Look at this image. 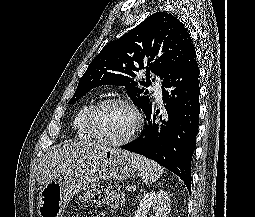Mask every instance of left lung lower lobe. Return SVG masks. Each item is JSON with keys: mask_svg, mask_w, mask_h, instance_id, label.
<instances>
[{"mask_svg": "<svg viewBox=\"0 0 255 217\" xmlns=\"http://www.w3.org/2000/svg\"><path fill=\"white\" fill-rule=\"evenodd\" d=\"M199 67L194 46L169 71L162 82L166 120L156 123L152 109L146 115L148 127L122 149L144 155L178 175L191 188V159L198 132Z\"/></svg>", "mask_w": 255, "mask_h": 217, "instance_id": "left-lung-lower-lobe-1", "label": "left lung lower lobe"}]
</instances>
